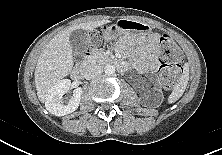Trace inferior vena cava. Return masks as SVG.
Listing matches in <instances>:
<instances>
[{
    "label": "inferior vena cava",
    "mask_w": 222,
    "mask_h": 155,
    "mask_svg": "<svg viewBox=\"0 0 222 155\" xmlns=\"http://www.w3.org/2000/svg\"><path fill=\"white\" fill-rule=\"evenodd\" d=\"M103 73V68L100 65L96 64H89L85 67L83 71V76L85 79L90 80L98 75H101Z\"/></svg>",
    "instance_id": "1"
}]
</instances>
